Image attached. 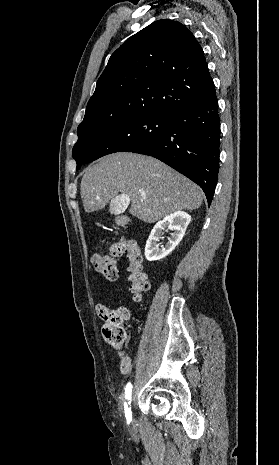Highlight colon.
Masks as SVG:
<instances>
[{
    "label": "colon",
    "mask_w": 279,
    "mask_h": 465,
    "mask_svg": "<svg viewBox=\"0 0 279 465\" xmlns=\"http://www.w3.org/2000/svg\"><path fill=\"white\" fill-rule=\"evenodd\" d=\"M122 255H126L129 260V290L136 299H139L149 289V279L143 264L142 252L133 240L120 238L113 241L107 253H94L91 261L95 269L105 278L116 280L118 278L116 261ZM98 314L104 321L105 339L114 348L122 349L128 341L125 322L129 319V310L126 308L108 309L100 305Z\"/></svg>",
    "instance_id": "1"
}]
</instances>
